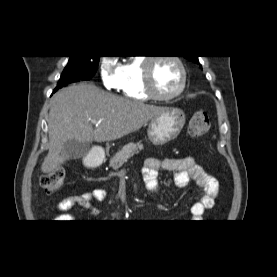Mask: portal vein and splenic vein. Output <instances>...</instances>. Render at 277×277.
<instances>
[{"instance_id":"obj_1","label":"portal vein and splenic vein","mask_w":277,"mask_h":277,"mask_svg":"<svg viewBox=\"0 0 277 277\" xmlns=\"http://www.w3.org/2000/svg\"><path fill=\"white\" fill-rule=\"evenodd\" d=\"M93 124H95L96 126H98V123L96 121H92Z\"/></svg>"}]
</instances>
